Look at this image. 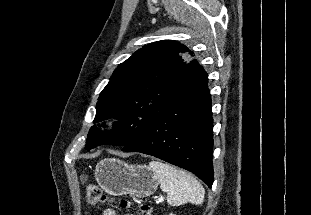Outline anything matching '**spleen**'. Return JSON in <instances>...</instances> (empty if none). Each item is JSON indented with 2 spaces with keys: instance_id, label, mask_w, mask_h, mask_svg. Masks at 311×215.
I'll use <instances>...</instances> for the list:
<instances>
[{
  "instance_id": "1",
  "label": "spleen",
  "mask_w": 311,
  "mask_h": 215,
  "mask_svg": "<svg viewBox=\"0 0 311 215\" xmlns=\"http://www.w3.org/2000/svg\"><path fill=\"white\" fill-rule=\"evenodd\" d=\"M149 168L156 174L161 190L167 193L169 205L202 204L204 188L191 174L158 160L150 162Z\"/></svg>"
}]
</instances>
